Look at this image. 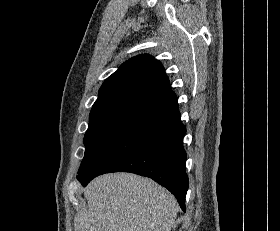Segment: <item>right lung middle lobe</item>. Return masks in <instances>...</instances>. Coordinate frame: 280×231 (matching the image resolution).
Returning <instances> with one entry per match:
<instances>
[{
  "label": "right lung middle lobe",
  "mask_w": 280,
  "mask_h": 231,
  "mask_svg": "<svg viewBox=\"0 0 280 231\" xmlns=\"http://www.w3.org/2000/svg\"><path fill=\"white\" fill-rule=\"evenodd\" d=\"M133 125H135L134 122L125 119H90L84 137L85 154L78 174L85 169L99 151Z\"/></svg>",
  "instance_id": "dd1d6c3e"
}]
</instances>
